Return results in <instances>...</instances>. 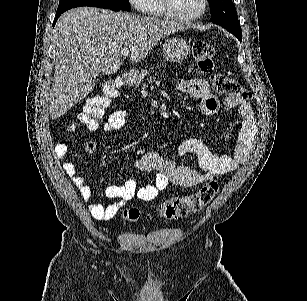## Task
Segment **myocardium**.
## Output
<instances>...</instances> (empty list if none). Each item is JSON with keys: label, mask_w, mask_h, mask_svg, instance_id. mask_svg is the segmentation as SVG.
I'll return each instance as SVG.
<instances>
[{"label": "myocardium", "mask_w": 307, "mask_h": 301, "mask_svg": "<svg viewBox=\"0 0 307 301\" xmlns=\"http://www.w3.org/2000/svg\"><path fill=\"white\" fill-rule=\"evenodd\" d=\"M171 0H161L163 7L160 17L169 18L170 22H195L196 18L202 17L206 10V0L200 1L198 11H169L172 6Z\"/></svg>", "instance_id": "myocardium-1"}]
</instances>
